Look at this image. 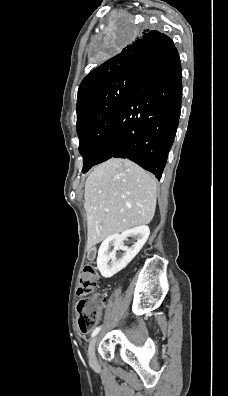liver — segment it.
I'll return each mask as SVG.
<instances>
[{
	"label": "liver",
	"instance_id": "6515ba94",
	"mask_svg": "<svg viewBox=\"0 0 228 396\" xmlns=\"http://www.w3.org/2000/svg\"><path fill=\"white\" fill-rule=\"evenodd\" d=\"M84 200L91 248L108 236L151 222L156 182L134 162L111 158L88 176Z\"/></svg>",
	"mask_w": 228,
	"mask_h": 396
}]
</instances>
